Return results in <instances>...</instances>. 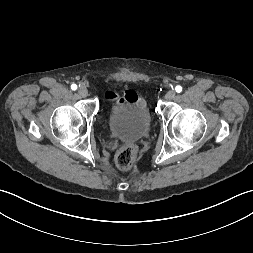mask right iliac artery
<instances>
[{
    "label": "right iliac artery",
    "mask_w": 253,
    "mask_h": 253,
    "mask_svg": "<svg viewBox=\"0 0 253 253\" xmlns=\"http://www.w3.org/2000/svg\"><path fill=\"white\" fill-rule=\"evenodd\" d=\"M71 89H72V90H76V89H77V85H76V84H72V85H71Z\"/></svg>",
    "instance_id": "1"
}]
</instances>
